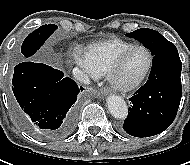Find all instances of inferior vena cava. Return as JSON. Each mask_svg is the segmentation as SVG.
I'll use <instances>...</instances> for the list:
<instances>
[{"mask_svg":"<svg viewBox=\"0 0 190 165\" xmlns=\"http://www.w3.org/2000/svg\"><path fill=\"white\" fill-rule=\"evenodd\" d=\"M73 75L76 80L81 81L84 84L90 83L89 77L83 71L79 70L78 68L73 69Z\"/></svg>","mask_w":190,"mask_h":165,"instance_id":"602c4592","label":"inferior vena cava"}]
</instances>
